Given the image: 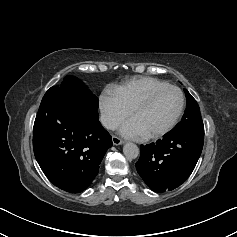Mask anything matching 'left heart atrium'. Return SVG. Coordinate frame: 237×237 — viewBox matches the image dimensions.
<instances>
[{"label":"left heart atrium","instance_id":"1","mask_svg":"<svg viewBox=\"0 0 237 237\" xmlns=\"http://www.w3.org/2000/svg\"><path fill=\"white\" fill-rule=\"evenodd\" d=\"M120 132L123 136L132 139H139L145 136L141 128L133 119L128 120L121 127Z\"/></svg>","mask_w":237,"mask_h":237}]
</instances>
